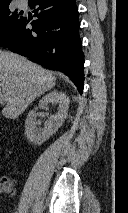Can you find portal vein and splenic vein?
I'll return each mask as SVG.
<instances>
[{"mask_svg":"<svg viewBox=\"0 0 128 213\" xmlns=\"http://www.w3.org/2000/svg\"><path fill=\"white\" fill-rule=\"evenodd\" d=\"M3 100L0 98V102H2Z\"/></svg>","mask_w":128,"mask_h":213,"instance_id":"1","label":"portal vein and splenic vein"}]
</instances>
